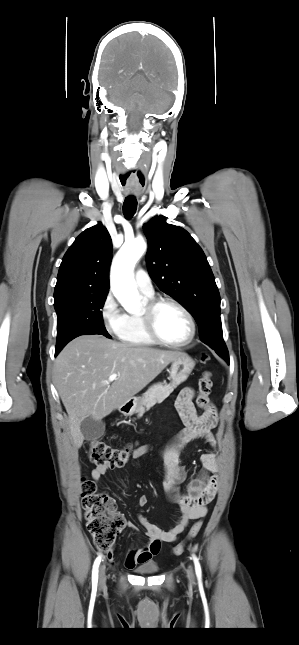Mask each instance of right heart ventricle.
<instances>
[{
	"label": "right heart ventricle",
	"instance_id": "obj_1",
	"mask_svg": "<svg viewBox=\"0 0 299 645\" xmlns=\"http://www.w3.org/2000/svg\"><path fill=\"white\" fill-rule=\"evenodd\" d=\"M147 297L151 298V296ZM118 337L122 342L132 346H151L156 344L147 334L140 312L125 314L124 325Z\"/></svg>",
	"mask_w": 299,
	"mask_h": 645
}]
</instances>
